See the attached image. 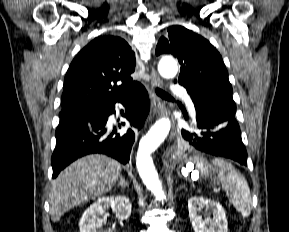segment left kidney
Returning a JSON list of instances; mask_svg holds the SVG:
<instances>
[{"mask_svg":"<svg viewBox=\"0 0 289 232\" xmlns=\"http://www.w3.org/2000/svg\"><path fill=\"white\" fill-rule=\"evenodd\" d=\"M203 209L212 213V218L202 219ZM189 217L195 232H228L225 210L220 203L204 197L188 199Z\"/></svg>","mask_w":289,"mask_h":232,"instance_id":"left-kidney-1","label":"left kidney"}]
</instances>
